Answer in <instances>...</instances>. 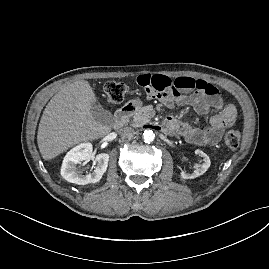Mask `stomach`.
Masks as SVG:
<instances>
[{
    "mask_svg": "<svg viewBox=\"0 0 269 269\" xmlns=\"http://www.w3.org/2000/svg\"><path fill=\"white\" fill-rule=\"evenodd\" d=\"M131 103H132V105L135 106L136 108H138V107L141 105V103H140L139 100H132Z\"/></svg>",
    "mask_w": 269,
    "mask_h": 269,
    "instance_id": "0dacf381",
    "label": "stomach"
}]
</instances>
